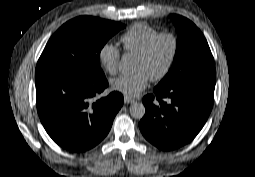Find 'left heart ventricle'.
I'll list each match as a JSON object with an SVG mask.
<instances>
[{"label": "left heart ventricle", "instance_id": "b2bd125f", "mask_svg": "<svg viewBox=\"0 0 255 177\" xmlns=\"http://www.w3.org/2000/svg\"><path fill=\"white\" fill-rule=\"evenodd\" d=\"M171 48L172 43L170 39L163 38L159 40L148 58H136L133 70L145 73L148 78L158 75L166 65Z\"/></svg>", "mask_w": 255, "mask_h": 177}]
</instances>
